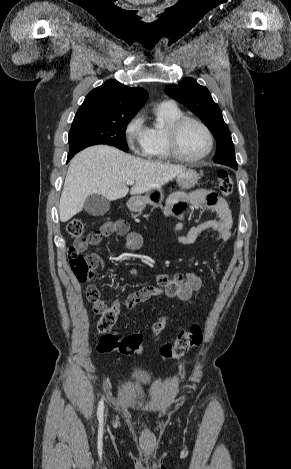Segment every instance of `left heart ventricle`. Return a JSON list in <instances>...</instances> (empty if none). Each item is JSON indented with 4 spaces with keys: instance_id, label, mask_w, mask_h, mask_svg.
Returning a JSON list of instances; mask_svg holds the SVG:
<instances>
[{
    "instance_id": "b2bd125f",
    "label": "left heart ventricle",
    "mask_w": 291,
    "mask_h": 469,
    "mask_svg": "<svg viewBox=\"0 0 291 469\" xmlns=\"http://www.w3.org/2000/svg\"><path fill=\"white\" fill-rule=\"evenodd\" d=\"M208 140L203 129L193 122L186 123L179 134V149L189 158L200 156L207 148Z\"/></svg>"
}]
</instances>
